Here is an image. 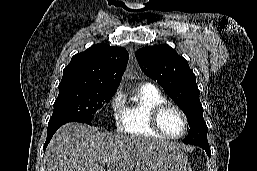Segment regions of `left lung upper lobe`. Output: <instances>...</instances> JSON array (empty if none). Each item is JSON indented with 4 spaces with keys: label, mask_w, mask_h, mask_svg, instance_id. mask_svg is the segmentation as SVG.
<instances>
[{
    "label": "left lung upper lobe",
    "mask_w": 257,
    "mask_h": 171,
    "mask_svg": "<svg viewBox=\"0 0 257 171\" xmlns=\"http://www.w3.org/2000/svg\"><path fill=\"white\" fill-rule=\"evenodd\" d=\"M135 56L142 71L157 81L186 114L190 130L183 142L208 143L199 89L188 62L166 44L143 47Z\"/></svg>",
    "instance_id": "left-lung-upper-lobe-1"
}]
</instances>
